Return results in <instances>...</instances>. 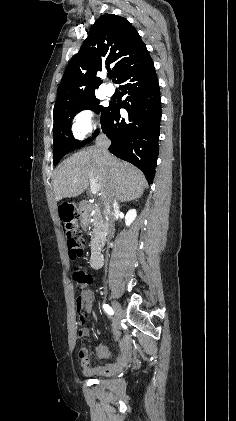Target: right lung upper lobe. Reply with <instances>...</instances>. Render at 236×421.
Instances as JSON below:
<instances>
[{
  "mask_svg": "<svg viewBox=\"0 0 236 421\" xmlns=\"http://www.w3.org/2000/svg\"><path fill=\"white\" fill-rule=\"evenodd\" d=\"M149 53L136 29L114 14L100 16L80 51L70 60L61 80L54 109L95 95L102 83L97 73L113 67L114 78Z\"/></svg>",
  "mask_w": 236,
  "mask_h": 421,
  "instance_id": "obj_1",
  "label": "right lung upper lobe"
}]
</instances>
